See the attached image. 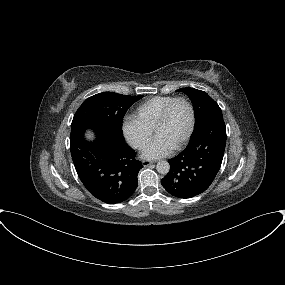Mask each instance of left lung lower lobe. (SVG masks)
Instances as JSON below:
<instances>
[{"label":"left lung lower lobe","instance_id":"obj_1","mask_svg":"<svg viewBox=\"0 0 285 285\" xmlns=\"http://www.w3.org/2000/svg\"><path fill=\"white\" fill-rule=\"evenodd\" d=\"M226 127L222 116L209 119L191 136L187 147L168 160L162 186L173 196L191 198L204 192L218 173L224 156Z\"/></svg>","mask_w":285,"mask_h":285}]
</instances>
